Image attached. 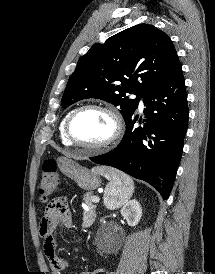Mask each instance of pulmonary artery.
Segmentation results:
<instances>
[{"instance_id":"e3ab8cb5","label":"pulmonary artery","mask_w":215,"mask_h":274,"mask_svg":"<svg viewBox=\"0 0 215 274\" xmlns=\"http://www.w3.org/2000/svg\"><path fill=\"white\" fill-rule=\"evenodd\" d=\"M139 107H140L141 109L144 108V103H143V100H142V99H141L140 102H139Z\"/></svg>"}]
</instances>
